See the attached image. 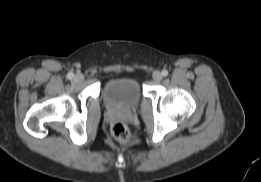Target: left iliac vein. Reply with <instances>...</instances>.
I'll return each mask as SVG.
<instances>
[{
    "instance_id": "obj_1",
    "label": "left iliac vein",
    "mask_w": 261,
    "mask_h": 182,
    "mask_svg": "<svg viewBox=\"0 0 261 182\" xmlns=\"http://www.w3.org/2000/svg\"><path fill=\"white\" fill-rule=\"evenodd\" d=\"M155 82H160L162 80V74L159 71H154L152 75Z\"/></svg>"
}]
</instances>
